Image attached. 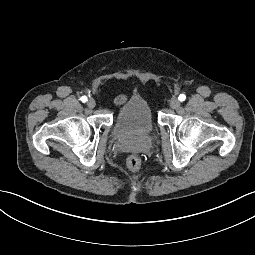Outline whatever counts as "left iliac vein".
I'll list each match as a JSON object with an SVG mask.
<instances>
[{
  "label": "left iliac vein",
  "instance_id": "1",
  "mask_svg": "<svg viewBox=\"0 0 255 255\" xmlns=\"http://www.w3.org/2000/svg\"><path fill=\"white\" fill-rule=\"evenodd\" d=\"M179 106H180L179 100H178L176 97H173V98L170 100V107H171L172 109H177Z\"/></svg>",
  "mask_w": 255,
  "mask_h": 255
}]
</instances>
